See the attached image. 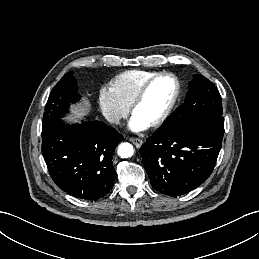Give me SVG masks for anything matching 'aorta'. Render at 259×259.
<instances>
[{"label": "aorta", "mask_w": 259, "mask_h": 259, "mask_svg": "<svg viewBox=\"0 0 259 259\" xmlns=\"http://www.w3.org/2000/svg\"><path fill=\"white\" fill-rule=\"evenodd\" d=\"M134 154V148L130 143H121L118 147V155L121 158H129Z\"/></svg>", "instance_id": "aorta-1"}]
</instances>
